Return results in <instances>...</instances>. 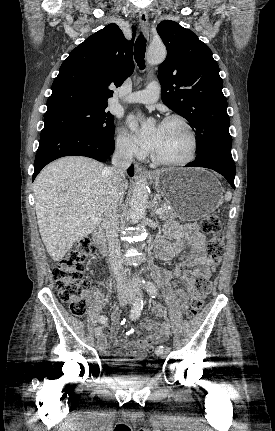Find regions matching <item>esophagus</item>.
Here are the masks:
<instances>
[{
	"label": "esophagus",
	"mask_w": 275,
	"mask_h": 431,
	"mask_svg": "<svg viewBox=\"0 0 275 431\" xmlns=\"http://www.w3.org/2000/svg\"><path fill=\"white\" fill-rule=\"evenodd\" d=\"M139 22L141 25V28L143 29L145 37L149 38V18L146 11L141 10L139 11ZM135 172L138 175H146L150 176L151 173L148 172L144 166H142L140 163H135Z\"/></svg>",
	"instance_id": "1"
}]
</instances>
